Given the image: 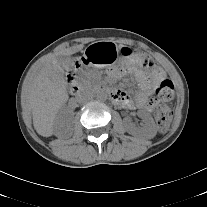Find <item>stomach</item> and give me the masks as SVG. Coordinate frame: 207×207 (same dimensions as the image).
I'll list each match as a JSON object with an SVG mask.
<instances>
[{
	"label": "stomach",
	"mask_w": 207,
	"mask_h": 207,
	"mask_svg": "<svg viewBox=\"0 0 207 207\" xmlns=\"http://www.w3.org/2000/svg\"><path fill=\"white\" fill-rule=\"evenodd\" d=\"M121 47L110 41H98L90 44L84 51V58L91 66L105 68L108 72H114L120 62ZM123 53L127 54L126 48Z\"/></svg>",
	"instance_id": "1"
}]
</instances>
